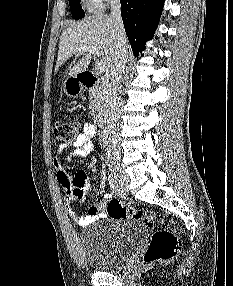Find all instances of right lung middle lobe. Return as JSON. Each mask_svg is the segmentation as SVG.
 <instances>
[{
    "label": "right lung middle lobe",
    "instance_id": "obj_1",
    "mask_svg": "<svg viewBox=\"0 0 233 286\" xmlns=\"http://www.w3.org/2000/svg\"><path fill=\"white\" fill-rule=\"evenodd\" d=\"M69 5L74 19H80L85 16V12L82 10L80 0H69Z\"/></svg>",
    "mask_w": 233,
    "mask_h": 286
}]
</instances>
